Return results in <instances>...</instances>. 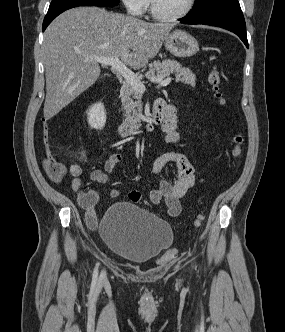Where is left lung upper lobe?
Here are the masks:
<instances>
[{
    "label": "left lung upper lobe",
    "instance_id": "obj_1",
    "mask_svg": "<svg viewBox=\"0 0 285 332\" xmlns=\"http://www.w3.org/2000/svg\"><path fill=\"white\" fill-rule=\"evenodd\" d=\"M233 10H241L238 0H195L188 16H203Z\"/></svg>",
    "mask_w": 285,
    "mask_h": 332
}]
</instances>
